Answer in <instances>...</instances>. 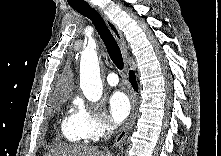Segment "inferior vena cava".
<instances>
[{
    "label": "inferior vena cava",
    "mask_w": 221,
    "mask_h": 156,
    "mask_svg": "<svg viewBox=\"0 0 221 156\" xmlns=\"http://www.w3.org/2000/svg\"><path fill=\"white\" fill-rule=\"evenodd\" d=\"M113 132V124L111 122L108 123L107 129H106V138H110L111 134Z\"/></svg>",
    "instance_id": "inferior-vena-cava-1"
}]
</instances>
